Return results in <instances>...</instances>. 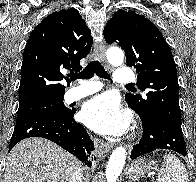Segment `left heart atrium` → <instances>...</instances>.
I'll return each instance as SVG.
<instances>
[{
  "instance_id": "1",
  "label": "left heart atrium",
  "mask_w": 196,
  "mask_h": 182,
  "mask_svg": "<svg viewBox=\"0 0 196 182\" xmlns=\"http://www.w3.org/2000/svg\"><path fill=\"white\" fill-rule=\"evenodd\" d=\"M80 117L88 127L101 134H120L130 122L128 114L120 110L117 98L109 93L87 101Z\"/></svg>"
}]
</instances>
